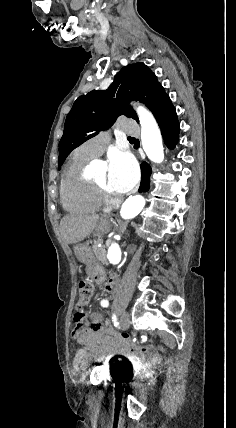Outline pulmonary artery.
Returning <instances> with one entry per match:
<instances>
[{
	"label": "pulmonary artery",
	"instance_id": "e3ab8cb5",
	"mask_svg": "<svg viewBox=\"0 0 236 428\" xmlns=\"http://www.w3.org/2000/svg\"><path fill=\"white\" fill-rule=\"evenodd\" d=\"M84 148H85V152L86 154L91 157V158H96L98 157L106 148L105 145H98V146H93L89 143L84 144Z\"/></svg>",
	"mask_w": 236,
	"mask_h": 428
}]
</instances>
